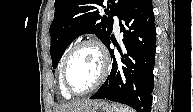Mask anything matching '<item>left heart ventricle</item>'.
Returning a JSON list of instances; mask_svg holds the SVG:
<instances>
[{
  "instance_id": "1",
  "label": "left heart ventricle",
  "mask_w": 193,
  "mask_h": 112,
  "mask_svg": "<svg viewBox=\"0 0 193 112\" xmlns=\"http://www.w3.org/2000/svg\"><path fill=\"white\" fill-rule=\"evenodd\" d=\"M101 68L98 51L92 46L78 49L71 57L67 76L70 86L75 91H84L96 81Z\"/></svg>"
}]
</instances>
